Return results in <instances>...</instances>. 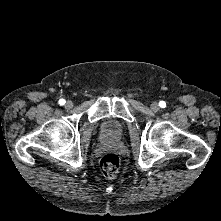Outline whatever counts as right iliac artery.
<instances>
[{
    "label": "right iliac artery",
    "mask_w": 221,
    "mask_h": 221,
    "mask_svg": "<svg viewBox=\"0 0 221 221\" xmlns=\"http://www.w3.org/2000/svg\"><path fill=\"white\" fill-rule=\"evenodd\" d=\"M58 102H59L60 105H64L65 104V100L64 99H60Z\"/></svg>",
    "instance_id": "82829eb1"
}]
</instances>
